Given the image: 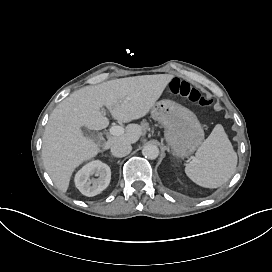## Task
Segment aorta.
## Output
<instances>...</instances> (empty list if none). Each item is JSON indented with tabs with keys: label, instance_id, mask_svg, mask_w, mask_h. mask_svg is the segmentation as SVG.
<instances>
[{
	"label": "aorta",
	"instance_id": "obj_1",
	"mask_svg": "<svg viewBox=\"0 0 272 272\" xmlns=\"http://www.w3.org/2000/svg\"><path fill=\"white\" fill-rule=\"evenodd\" d=\"M142 154L148 159H156L159 155V148L153 144H147L142 149Z\"/></svg>",
	"mask_w": 272,
	"mask_h": 272
}]
</instances>
